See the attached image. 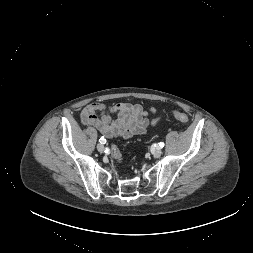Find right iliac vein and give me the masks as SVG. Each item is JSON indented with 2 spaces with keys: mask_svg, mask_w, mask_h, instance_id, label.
I'll use <instances>...</instances> for the list:
<instances>
[{
  "mask_svg": "<svg viewBox=\"0 0 253 253\" xmlns=\"http://www.w3.org/2000/svg\"><path fill=\"white\" fill-rule=\"evenodd\" d=\"M97 150L100 152V153H103L104 152V145L103 144H98L97 145Z\"/></svg>",
  "mask_w": 253,
  "mask_h": 253,
  "instance_id": "right-iliac-vein-1",
  "label": "right iliac vein"
}]
</instances>
